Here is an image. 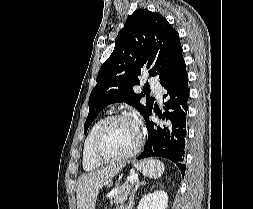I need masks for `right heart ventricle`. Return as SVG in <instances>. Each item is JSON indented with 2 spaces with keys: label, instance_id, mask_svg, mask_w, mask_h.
Here are the masks:
<instances>
[{
  "label": "right heart ventricle",
  "instance_id": "obj_1",
  "mask_svg": "<svg viewBox=\"0 0 253 209\" xmlns=\"http://www.w3.org/2000/svg\"><path fill=\"white\" fill-rule=\"evenodd\" d=\"M105 120V117H100L90 128L83 145L82 164L85 170L91 171L100 167L101 163L96 161L92 156V145L96 132L100 125Z\"/></svg>",
  "mask_w": 253,
  "mask_h": 209
}]
</instances>
